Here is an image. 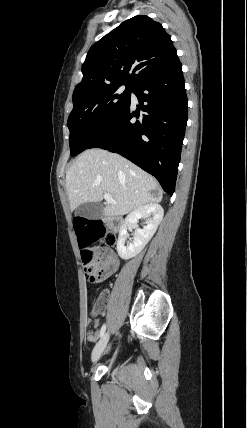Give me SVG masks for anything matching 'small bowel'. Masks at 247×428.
<instances>
[{
  "mask_svg": "<svg viewBox=\"0 0 247 428\" xmlns=\"http://www.w3.org/2000/svg\"><path fill=\"white\" fill-rule=\"evenodd\" d=\"M100 255L103 256L106 260V263L103 269L100 272V276L98 281H103L110 277L113 273H115L119 267V260L115 253L111 249H102ZM106 306V298L102 297L97 305L94 308V313L101 314ZM97 339L96 333L87 334V341L90 343H94Z\"/></svg>",
  "mask_w": 247,
  "mask_h": 428,
  "instance_id": "c3829d8e",
  "label": "small bowel"
}]
</instances>
